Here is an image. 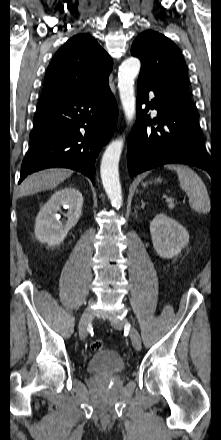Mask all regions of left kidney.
Masks as SVG:
<instances>
[{
	"mask_svg": "<svg viewBox=\"0 0 221 440\" xmlns=\"http://www.w3.org/2000/svg\"><path fill=\"white\" fill-rule=\"evenodd\" d=\"M152 243L162 258L178 255L189 242V233L176 220L164 213L157 214L150 224Z\"/></svg>",
	"mask_w": 221,
	"mask_h": 440,
	"instance_id": "left-kidney-1",
	"label": "left kidney"
}]
</instances>
